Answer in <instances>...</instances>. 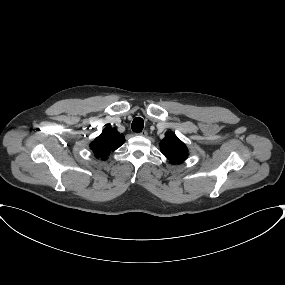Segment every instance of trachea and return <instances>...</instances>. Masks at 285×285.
<instances>
[{
	"mask_svg": "<svg viewBox=\"0 0 285 285\" xmlns=\"http://www.w3.org/2000/svg\"><path fill=\"white\" fill-rule=\"evenodd\" d=\"M143 127H144V121L142 118L140 117H136L133 122H132V125H131V128L134 132H141L143 130Z\"/></svg>",
	"mask_w": 285,
	"mask_h": 285,
	"instance_id": "obj_1",
	"label": "trachea"
}]
</instances>
